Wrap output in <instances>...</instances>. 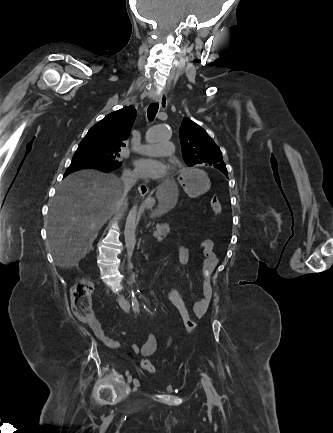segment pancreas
<instances>
[{
  "label": "pancreas",
  "instance_id": "obj_1",
  "mask_svg": "<svg viewBox=\"0 0 333 433\" xmlns=\"http://www.w3.org/2000/svg\"><path fill=\"white\" fill-rule=\"evenodd\" d=\"M156 234L159 236V237H162V238H164V237H166L167 235H168V233L170 232V226H169V224H167V223H164V224H157L156 225Z\"/></svg>",
  "mask_w": 333,
  "mask_h": 433
}]
</instances>
